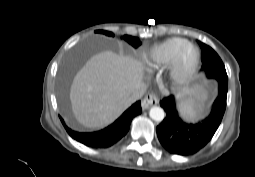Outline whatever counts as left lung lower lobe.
I'll use <instances>...</instances> for the list:
<instances>
[{
    "mask_svg": "<svg viewBox=\"0 0 255 177\" xmlns=\"http://www.w3.org/2000/svg\"><path fill=\"white\" fill-rule=\"evenodd\" d=\"M218 89L209 116L195 124L186 123L178 116L173 96L160 102L166 117L156 130L160 143L168 152L182 156L193 155L212 139L226 109L228 80H218Z\"/></svg>",
    "mask_w": 255,
    "mask_h": 177,
    "instance_id": "0a47b994",
    "label": "left lung lower lobe"
}]
</instances>
